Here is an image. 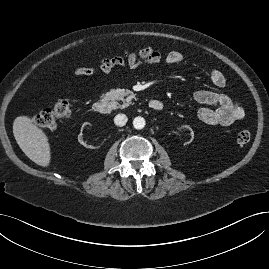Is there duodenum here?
<instances>
[{
	"label": "duodenum",
	"instance_id": "duodenum-1",
	"mask_svg": "<svg viewBox=\"0 0 269 269\" xmlns=\"http://www.w3.org/2000/svg\"><path fill=\"white\" fill-rule=\"evenodd\" d=\"M149 108L154 112H161L164 108V104L160 100L151 99L148 102ZM112 108L108 101L101 99L93 104V111L97 114H109Z\"/></svg>",
	"mask_w": 269,
	"mask_h": 269
}]
</instances>
